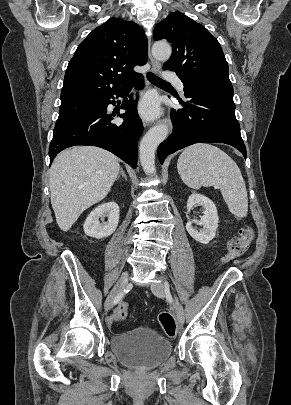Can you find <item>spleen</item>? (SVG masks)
I'll use <instances>...</instances> for the list:
<instances>
[{
	"label": "spleen",
	"mask_w": 291,
	"mask_h": 405,
	"mask_svg": "<svg viewBox=\"0 0 291 405\" xmlns=\"http://www.w3.org/2000/svg\"><path fill=\"white\" fill-rule=\"evenodd\" d=\"M178 173L190 188L214 186L220 189L229 211L236 218L248 212V197L241 171L234 160L220 148L195 144L178 158Z\"/></svg>",
	"instance_id": "obj_1"
}]
</instances>
